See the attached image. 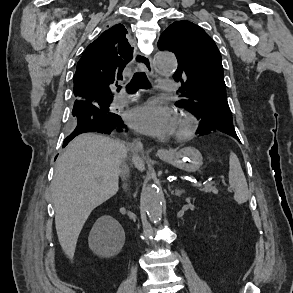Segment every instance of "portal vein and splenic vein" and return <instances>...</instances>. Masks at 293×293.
<instances>
[{"label": "portal vein and splenic vein", "instance_id": "portal-vein-and-splenic-vein-1", "mask_svg": "<svg viewBox=\"0 0 293 293\" xmlns=\"http://www.w3.org/2000/svg\"><path fill=\"white\" fill-rule=\"evenodd\" d=\"M191 186L197 187V186H199V184H198L197 182H193V183L191 184Z\"/></svg>", "mask_w": 293, "mask_h": 293}]
</instances>
